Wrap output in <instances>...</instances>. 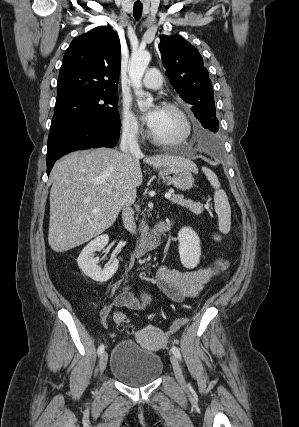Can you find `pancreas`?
Returning <instances> with one entry per match:
<instances>
[{
	"label": "pancreas",
	"instance_id": "cf45deb5",
	"mask_svg": "<svg viewBox=\"0 0 299 427\" xmlns=\"http://www.w3.org/2000/svg\"><path fill=\"white\" fill-rule=\"evenodd\" d=\"M170 201L173 204H178V205H181L182 207L188 208L194 214L199 215L203 212V205L200 202H193L192 200H187L184 198V196L180 194H172ZM140 230H141L142 236L147 234L149 230L148 226L145 224L144 221H141Z\"/></svg>",
	"mask_w": 299,
	"mask_h": 427
}]
</instances>
